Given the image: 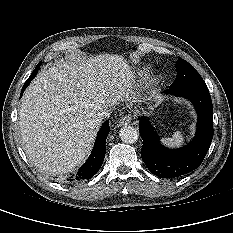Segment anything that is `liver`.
Here are the masks:
<instances>
[{"label": "liver", "instance_id": "liver-1", "mask_svg": "<svg viewBox=\"0 0 233 233\" xmlns=\"http://www.w3.org/2000/svg\"><path fill=\"white\" fill-rule=\"evenodd\" d=\"M134 76L120 55L76 58L46 66L21 99L25 153L41 172L66 174L90 152L101 122L96 114L132 93Z\"/></svg>", "mask_w": 233, "mask_h": 233}]
</instances>
